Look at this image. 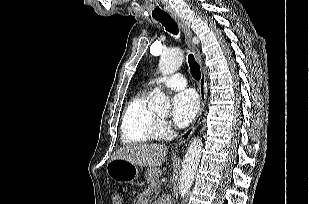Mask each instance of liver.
I'll list each match as a JSON object with an SVG mask.
<instances>
[{
	"mask_svg": "<svg viewBox=\"0 0 309 204\" xmlns=\"http://www.w3.org/2000/svg\"><path fill=\"white\" fill-rule=\"evenodd\" d=\"M168 147L161 144H129L119 148L112 159H123L138 166L157 168L162 165Z\"/></svg>",
	"mask_w": 309,
	"mask_h": 204,
	"instance_id": "6515ba94",
	"label": "liver"
}]
</instances>
